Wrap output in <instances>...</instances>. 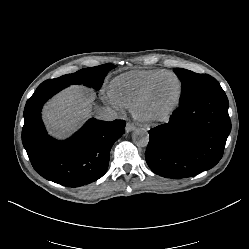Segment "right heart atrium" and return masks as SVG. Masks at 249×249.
<instances>
[{
	"label": "right heart atrium",
	"mask_w": 249,
	"mask_h": 249,
	"mask_svg": "<svg viewBox=\"0 0 249 249\" xmlns=\"http://www.w3.org/2000/svg\"><path fill=\"white\" fill-rule=\"evenodd\" d=\"M108 105L113 109L115 110L116 112H121L124 110V105L119 102L118 100L112 98V97H108L106 99Z\"/></svg>",
	"instance_id": "obj_1"
}]
</instances>
